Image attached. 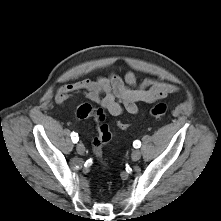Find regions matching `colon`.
<instances>
[{"instance_id":"5ec220e1","label":"colon","mask_w":221,"mask_h":221,"mask_svg":"<svg viewBox=\"0 0 221 221\" xmlns=\"http://www.w3.org/2000/svg\"><path fill=\"white\" fill-rule=\"evenodd\" d=\"M168 107L164 103H158L149 110V115L154 118H161L167 114ZM76 117L79 119L93 118L96 122V136L92 141L93 154L97 159L102 158V150L107 144L112 134L109 126L106 124V115L101 108H94L90 104H82L76 110ZM117 126L120 129H127L129 124L126 122H118Z\"/></svg>"}]
</instances>
